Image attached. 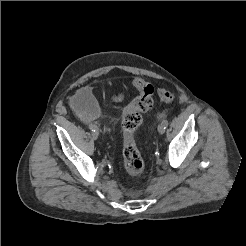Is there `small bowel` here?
I'll list each match as a JSON object with an SVG mask.
<instances>
[{"instance_id":"c3829d8e","label":"small bowel","mask_w":246,"mask_h":246,"mask_svg":"<svg viewBox=\"0 0 246 246\" xmlns=\"http://www.w3.org/2000/svg\"><path fill=\"white\" fill-rule=\"evenodd\" d=\"M122 98V93H117L113 96L115 102H120ZM71 104L76 115L84 123L95 121L101 114L99 104L93 95L92 88L89 86L78 90L72 98Z\"/></svg>"}]
</instances>
